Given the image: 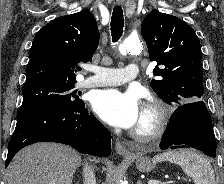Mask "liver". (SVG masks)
<instances>
[{
	"instance_id": "6515ba94",
	"label": "liver",
	"mask_w": 224,
	"mask_h": 184,
	"mask_svg": "<svg viewBox=\"0 0 224 184\" xmlns=\"http://www.w3.org/2000/svg\"><path fill=\"white\" fill-rule=\"evenodd\" d=\"M81 157L72 148L41 142L19 151L7 168V184H72Z\"/></svg>"
}]
</instances>
